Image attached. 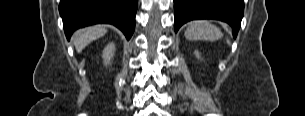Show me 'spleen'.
<instances>
[{
    "mask_svg": "<svg viewBox=\"0 0 305 116\" xmlns=\"http://www.w3.org/2000/svg\"><path fill=\"white\" fill-rule=\"evenodd\" d=\"M185 37L189 40H209L214 41L222 37V32L218 27L206 20H197L189 23L185 31Z\"/></svg>",
    "mask_w": 305,
    "mask_h": 116,
    "instance_id": "obj_1",
    "label": "spleen"
}]
</instances>
